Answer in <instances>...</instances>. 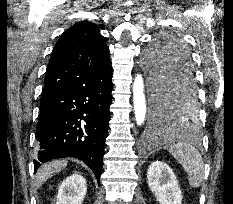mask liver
<instances>
[{"instance_id": "1", "label": "liver", "mask_w": 233, "mask_h": 204, "mask_svg": "<svg viewBox=\"0 0 233 204\" xmlns=\"http://www.w3.org/2000/svg\"><path fill=\"white\" fill-rule=\"evenodd\" d=\"M67 166V161L64 159L53 160L41 166L36 175V188H39L47 179L55 173L60 172Z\"/></svg>"}]
</instances>
